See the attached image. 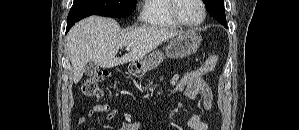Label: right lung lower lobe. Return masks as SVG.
<instances>
[{"instance_id":"obj_1","label":"right lung lower lobe","mask_w":299,"mask_h":130,"mask_svg":"<svg viewBox=\"0 0 299 130\" xmlns=\"http://www.w3.org/2000/svg\"><path fill=\"white\" fill-rule=\"evenodd\" d=\"M87 16H88L87 14H83V13H69L68 20H67L66 33L75 24V22H77L80 19L87 17Z\"/></svg>"}]
</instances>
